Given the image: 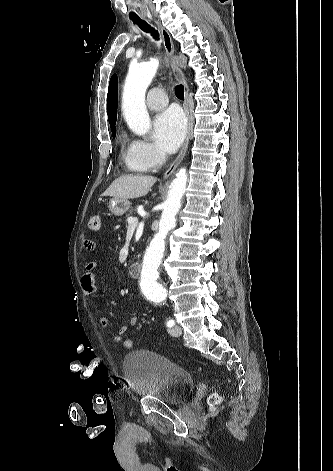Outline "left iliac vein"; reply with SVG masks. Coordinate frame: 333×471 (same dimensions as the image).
<instances>
[{
    "mask_svg": "<svg viewBox=\"0 0 333 471\" xmlns=\"http://www.w3.org/2000/svg\"><path fill=\"white\" fill-rule=\"evenodd\" d=\"M169 334L175 337H178L182 334V329L179 325H174L173 327L169 328Z\"/></svg>",
    "mask_w": 333,
    "mask_h": 471,
    "instance_id": "obj_1",
    "label": "left iliac vein"
}]
</instances>
